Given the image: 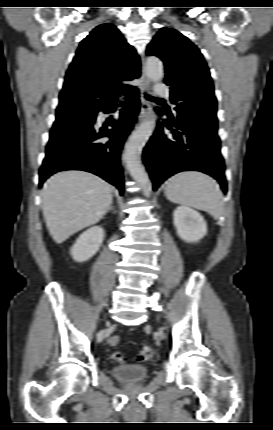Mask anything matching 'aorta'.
<instances>
[{"label": "aorta", "instance_id": "aorta-1", "mask_svg": "<svg viewBox=\"0 0 273 430\" xmlns=\"http://www.w3.org/2000/svg\"><path fill=\"white\" fill-rule=\"evenodd\" d=\"M147 75L151 81H160L164 76L163 63L157 57H150L146 64ZM154 127L153 120H146L141 123L134 133L130 136L125 145L124 161L126 169L132 178L142 187L146 197L151 195V185L145 169L141 165L140 154L147 143Z\"/></svg>", "mask_w": 273, "mask_h": 430}]
</instances>
